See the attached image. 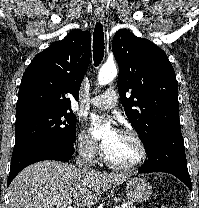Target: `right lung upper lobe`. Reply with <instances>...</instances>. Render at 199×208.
I'll use <instances>...</instances> for the list:
<instances>
[{
  "label": "right lung upper lobe",
  "mask_w": 199,
  "mask_h": 208,
  "mask_svg": "<svg viewBox=\"0 0 199 208\" xmlns=\"http://www.w3.org/2000/svg\"><path fill=\"white\" fill-rule=\"evenodd\" d=\"M91 35L75 29L37 54L25 70L16 111L27 108L71 110L90 62Z\"/></svg>",
  "instance_id": "obj_1"
}]
</instances>
